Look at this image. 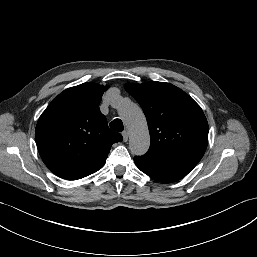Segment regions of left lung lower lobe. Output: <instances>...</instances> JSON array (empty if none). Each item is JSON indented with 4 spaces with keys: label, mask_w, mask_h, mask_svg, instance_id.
Returning <instances> with one entry per match:
<instances>
[{
    "label": "left lung lower lobe",
    "mask_w": 257,
    "mask_h": 257,
    "mask_svg": "<svg viewBox=\"0 0 257 257\" xmlns=\"http://www.w3.org/2000/svg\"><path fill=\"white\" fill-rule=\"evenodd\" d=\"M137 167L152 179L164 183L175 182L186 176L195 165L183 164L177 166L159 165L134 157Z\"/></svg>",
    "instance_id": "left-lung-lower-lobe-1"
}]
</instances>
